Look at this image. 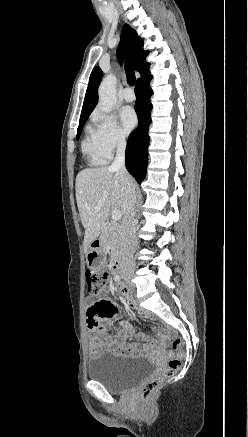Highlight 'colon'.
<instances>
[{"instance_id": "obj_1", "label": "colon", "mask_w": 248, "mask_h": 437, "mask_svg": "<svg viewBox=\"0 0 248 437\" xmlns=\"http://www.w3.org/2000/svg\"><path fill=\"white\" fill-rule=\"evenodd\" d=\"M109 273L90 272L86 274V282L90 294H98L108 283ZM170 358L161 374L146 382L140 389L142 399H148L166 380L171 378L181 367L182 340L178 337L172 340Z\"/></svg>"}]
</instances>
